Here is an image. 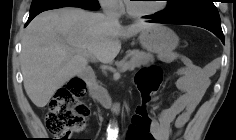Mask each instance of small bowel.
Segmentation results:
<instances>
[{"label": "small bowel", "instance_id": "small-bowel-1", "mask_svg": "<svg viewBox=\"0 0 236 140\" xmlns=\"http://www.w3.org/2000/svg\"><path fill=\"white\" fill-rule=\"evenodd\" d=\"M178 58L183 63L177 79V88L181 94L169 108L152 119L154 140H170L174 136L173 127L177 129L176 135L183 131L209 88L214 74L212 65L200 67L186 56L179 55Z\"/></svg>", "mask_w": 236, "mask_h": 140}]
</instances>
